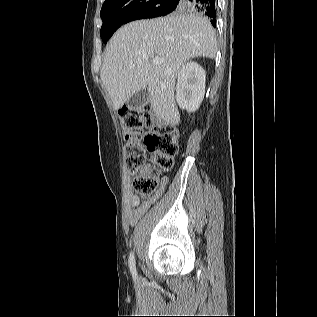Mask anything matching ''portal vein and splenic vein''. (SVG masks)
I'll use <instances>...</instances> for the list:
<instances>
[{
	"instance_id": "portal-vein-and-splenic-vein-1",
	"label": "portal vein and splenic vein",
	"mask_w": 317,
	"mask_h": 317,
	"mask_svg": "<svg viewBox=\"0 0 317 317\" xmlns=\"http://www.w3.org/2000/svg\"><path fill=\"white\" fill-rule=\"evenodd\" d=\"M161 63L160 59L159 58H155L152 60V64L153 65H159Z\"/></svg>"
}]
</instances>
